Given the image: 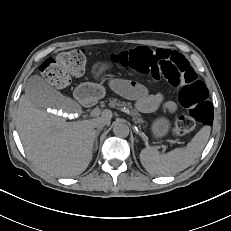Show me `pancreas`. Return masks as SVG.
<instances>
[{
	"instance_id": "obj_1",
	"label": "pancreas",
	"mask_w": 231,
	"mask_h": 231,
	"mask_svg": "<svg viewBox=\"0 0 231 231\" xmlns=\"http://www.w3.org/2000/svg\"><path fill=\"white\" fill-rule=\"evenodd\" d=\"M109 106L111 108L116 107L117 109H120L130 114L135 120V122L138 123L140 126L145 123V121L141 117V114L129 102L120 101L117 98H111L109 99Z\"/></svg>"
}]
</instances>
